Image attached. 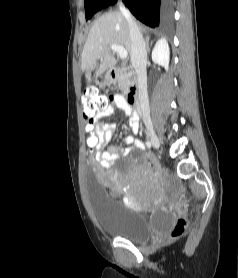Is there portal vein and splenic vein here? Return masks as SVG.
Returning a JSON list of instances; mask_svg holds the SVG:
<instances>
[{"mask_svg":"<svg viewBox=\"0 0 238 278\" xmlns=\"http://www.w3.org/2000/svg\"><path fill=\"white\" fill-rule=\"evenodd\" d=\"M110 48L112 49V51L118 53V55L121 59H126L127 58L128 52L122 46H119V45H116V44H111Z\"/></svg>","mask_w":238,"mask_h":278,"instance_id":"18ae733b","label":"portal vein and splenic vein"}]
</instances>
